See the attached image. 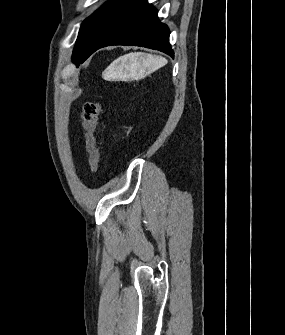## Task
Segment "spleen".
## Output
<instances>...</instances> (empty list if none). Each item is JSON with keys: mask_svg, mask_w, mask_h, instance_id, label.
<instances>
[{"mask_svg": "<svg viewBox=\"0 0 285 335\" xmlns=\"http://www.w3.org/2000/svg\"><path fill=\"white\" fill-rule=\"evenodd\" d=\"M127 58L131 60L132 70H140V68L151 70L152 66L155 70H158V68H162V66L167 64V60L161 58V56H149V54H141V52H138V54H128Z\"/></svg>", "mask_w": 285, "mask_h": 335, "instance_id": "3e777b00", "label": "spleen"}]
</instances>
